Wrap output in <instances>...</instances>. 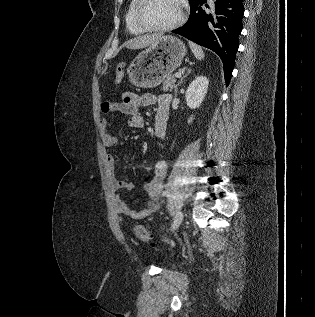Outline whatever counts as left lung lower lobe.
I'll use <instances>...</instances> for the list:
<instances>
[{"label":"left lung lower lobe","mask_w":315,"mask_h":317,"mask_svg":"<svg viewBox=\"0 0 315 317\" xmlns=\"http://www.w3.org/2000/svg\"><path fill=\"white\" fill-rule=\"evenodd\" d=\"M206 1L193 0L188 21L172 32L217 53L223 62L228 85L242 31L243 0H214L211 6L206 5L208 10L205 11L199 5Z\"/></svg>","instance_id":"left-lung-lower-lobe-1"}]
</instances>
